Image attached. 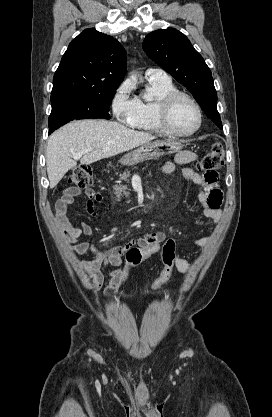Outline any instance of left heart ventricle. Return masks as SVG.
I'll return each mask as SVG.
<instances>
[{
	"instance_id": "left-heart-ventricle-1",
	"label": "left heart ventricle",
	"mask_w": 272,
	"mask_h": 417,
	"mask_svg": "<svg viewBox=\"0 0 272 417\" xmlns=\"http://www.w3.org/2000/svg\"><path fill=\"white\" fill-rule=\"evenodd\" d=\"M170 121L175 130L189 132L197 125V111L188 100L181 99L174 105Z\"/></svg>"
}]
</instances>
